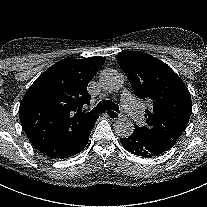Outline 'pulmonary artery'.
<instances>
[{"instance_id": "pulmonary-artery-1", "label": "pulmonary artery", "mask_w": 207, "mask_h": 207, "mask_svg": "<svg viewBox=\"0 0 207 207\" xmlns=\"http://www.w3.org/2000/svg\"><path fill=\"white\" fill-rule=\"evenodd\" d=\"M121 106L132 121H139L142 118V110L132 96H124L121 99Z\"/></svg>"}]
</instances>
